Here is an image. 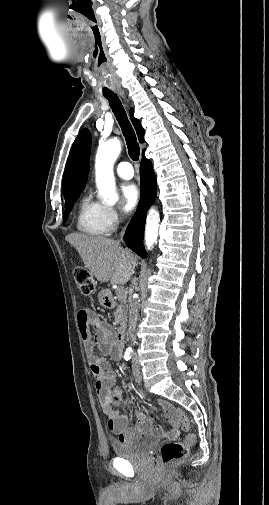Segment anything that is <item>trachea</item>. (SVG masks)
Returning <instances> with one entry per match:
<instances>
[{
  "mask_svg": "<svg viewBox=\"0 0 269 505\" xmlns=\"http://www.w3.org/2000/svg\"><path fill=\"white\" fill-rule=\"evenodd\" d=\"M103 95L108 99L110 107L121 127L126 140L129 156L132 160L137 161L140 155L139 144L137 142L134 129L127 117L126 111L119 97L112 91L104 92Z\"/></svg>",
  "mask_w": 269,
  "mask_h": 505,
  "instance_id": "1",
  "label": "trachea"
}]
</instances>
